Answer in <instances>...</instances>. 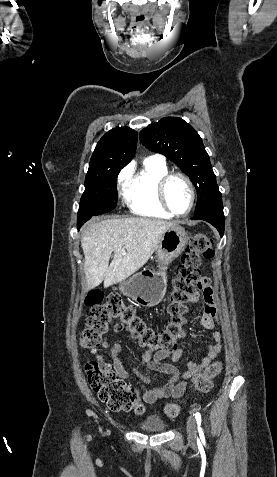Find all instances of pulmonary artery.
<instances>
[{
  "label": "pulmonary artery",
  "instance_id": "e3ab8cb5",
  "mask_svg": "<svg viewBox=\"0 0 277 477\" xmlns=\"http://www.w3.org/2000/svg\"><path fill=\"white\" fill-rule=\"evenodd\" d=\"M149 159H153V160H156V161H163V158L160 156V155H153L151 157H149Z\"/></svg>",
  "mask_w": 277,
  "mask_h": 477
}]
</instances>
